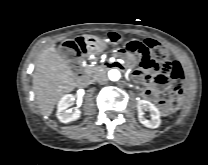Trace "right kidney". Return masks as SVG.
I'll return each mask as SVG.
<instances>
[{
  "label": "right kidney",
  "instance_id": "right-kidney-1",
  "mask_svg": "<svg viewBox=\"0 0 208 165\" xmlns=\"http://www.w3.org/2000/svg\"><path fill=\"white\" fill-rule=\"evenodd\" d=\"M77 94V104L78 106H80L82 103V96L84 95V90H78ZM73 99L74 96L72 94H67L64 95L58 102L56 116L63 123L75 121L81 116V111L79 109L76 108L74 111L68 109Z\"/></svg>",
  "mask_w": 208,
  "mask_h": 165
}]
</instances>
